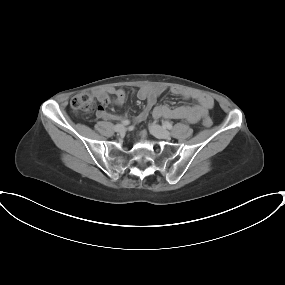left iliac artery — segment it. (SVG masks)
<instances>
[{
    "instance_id": "1",
    "label": "left iliac artery",
    "mask_w": 285,
    "mask_h": 285,
    "mask_svg": "<svg viewBox=\"0 0 285 285\" xmlns=\"http://www.w3.org/2000/svg\"><path fill=\"white\" fill-rule=\"evenodd\" d=\"M163 125H164V127L165 128H167V129H169V130H171L172 129V124L170 123V122H168V121H165L164 123H163Z\"/></svg>"
}]
</instances>
